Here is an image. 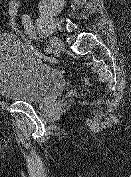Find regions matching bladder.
I'll return each instance as SVG.
<instances>
[{
  "label": "bladder",
  "mask_w": 131,
  "mask_h": 177,
  "mask_svg": "<svg viewBox=\"0 0 131 177\" xmlns=\"http://www.w3.org/2000/svg\"><path fill=\"white\" fill-rule=\"evenodd\" d=\"M64 73L37 57L14 33L0 34V95L39 104L59 96Z\"/></svg>",
  "instance_id": "31cf9c89"
}]
</instances>
